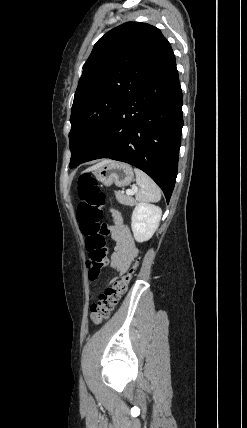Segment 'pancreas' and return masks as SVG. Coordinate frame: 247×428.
<instances>
[{
  "mask_svg": "<svg viewBox=\"0 0 247 428\" xmlns=\"http://www.w3.org/2000/svg\"><path fill=\"white\" fill-rule=\"evenodd\" d=\"M116 199L119 203L127 206H134L136 205V200L130 196L124 195L122 192L118 191L115 192Z\"/></svg>",
  "mask_w": 247,
  "mask_h": 428,
  "instance_id": "pancreas-1",
  "label": "pancreas"
}]
</instances>
